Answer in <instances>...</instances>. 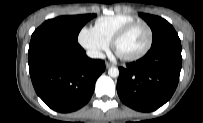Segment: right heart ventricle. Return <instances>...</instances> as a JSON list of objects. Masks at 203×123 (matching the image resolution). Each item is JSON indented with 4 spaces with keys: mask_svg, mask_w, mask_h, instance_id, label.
Listing matches in <instances>:
<instances>
[{
    "mask_svg": "<svg viewBox=\"0 0 203 123\" xmlns=\"http://www.w3.org/2000/svg\"><path fill=\"white\" fill-rule=\"evenodd\" d=\"M139 20L129 14H115L103 16L95 21V31L108 43L112 41L116 33L127 24Z\"/></svg>",
    "mask_w": 203,
    "mask_h": 123,
    "instance_id": "e07e8e85",
    "label": "right heart ventricle"
}]
</instances>
